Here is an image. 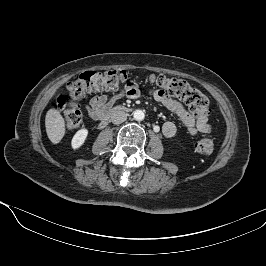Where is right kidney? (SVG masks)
Returning <instances> with one entry per match:
<instances>
[{
    "mask_svg": "<svg viewBox=\"0 0 266 266\" xmlns=\"http://www.w3.org/2000/svg\"><path fill=\"white\" fill-rule=\"evenodd\" d=\"M87 135H88L87 129H80L79 131H77L76 134L72 138V142H71L72 148L73 149L80 148L84 144L87 138Z\"/></svg>",
    "mask_w": 266,
    "mask_h": 266,
    "instance_id": "ca27d5eb",
    "label": "right kidney"
}]
</instances>
